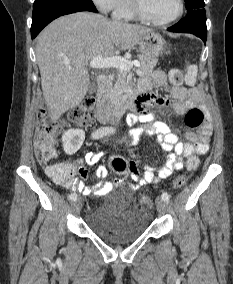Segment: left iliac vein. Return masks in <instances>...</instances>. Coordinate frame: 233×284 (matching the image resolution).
<instances>
[{
	"label": "left iliac vein",
	"instance_id": "left-iliac-vein-1",
	"mask_svg": "<svg viewBox=\"0 0 233 284\" xmlns=\"http://www.w3.org/2000/svg\"><path fill=\"white\" fill-rule=\"evenodd\" d=\"M156 207L159 213H165L167 209V203L162 198H157L156 200Z\"/></svg>",
	"mask_w": 233,
	"mask_h": 284
}]
</instances>
